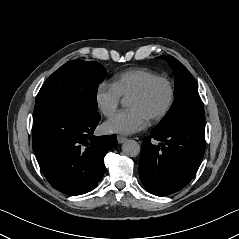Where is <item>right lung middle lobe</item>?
Segmentation results:
<instances>
[{"mask_svg": "<svg viewBox=\"0 0 239 239\" xmlns=\"http://www.w3.org/2000/svg\"><path fill=\"white\" fill-rule=\"evenodd\" d=\"M107 76L95 61H69L55 71L41 87L34 107V123L61 109L98 114L97 89Z\"/></svg>", "mask_w": 239, "mask_h": 239, "instance_id": "1", "label": "right lung middle lobe"}]
</instances>
